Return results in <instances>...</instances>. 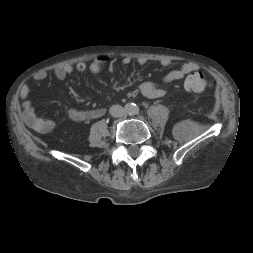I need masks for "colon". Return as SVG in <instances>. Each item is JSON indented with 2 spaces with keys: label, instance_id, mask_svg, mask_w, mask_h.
<instances>
[{
  "label": "colon",
  "instance_id": "obj_1",
  "mask_svg": "<svg viewBox=\"0 0 253 253\" xmlns=\"http://www.w3.org/2000/svg\"><path fill=\"white\" fill-rule=\"evenodd\" d=\"M184 87L188 91L202 92L212 87V83L199 72L190 73L184 80Z\"/></svg>",
  "mask_w": 253,
  "mask_h": 253
}]
</instances>
